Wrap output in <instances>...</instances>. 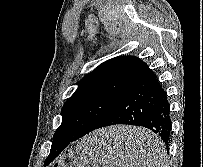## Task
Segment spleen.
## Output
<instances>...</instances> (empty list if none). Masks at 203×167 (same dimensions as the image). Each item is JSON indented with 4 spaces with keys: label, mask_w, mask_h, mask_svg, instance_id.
Returning a JSON list of instances; mask_svg holds the SVG:
<instances>
[{
    "label": "spleen",
    "mask_w": 203,
    "mask_h": 167,
    "mask_svg": "<svg viewBox=\"0 0 203 167\" xmlns=\"http://www.w3.org/2000/svg\"><path fill=\"white\" fill-rule=\"evenodd\" d=\"M113 144L110 135L98 131L85 137L80 142L78 149L82 155L88 156L94 162L103 165V167H132V164L114 159L112 153ZM140 151L139 167H168L165 147L158 137H154L150 133L143 141Z\"/></svg>",
    "instance_id": "1"
}]
</instances>
